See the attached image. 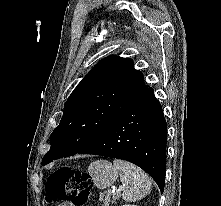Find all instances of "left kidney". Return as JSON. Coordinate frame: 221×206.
<instances>
[{
    "mask_svg": "<svg viewBox=\"0 0 221 206\" xmlns=\"http://www.w3.org/2000/svg\"><path fill=\"white\" fill-rule=\"evenodd\" d=\"M122 206H137V205L125 204V205H122Z\"/></svg>",
    "mask_w": 221,
    "mask_h": 206,
    "instance_id": "5707ae66",
    "label": "left kidney"
}]
</instances>
